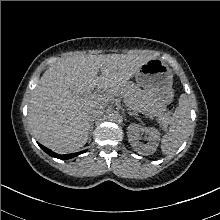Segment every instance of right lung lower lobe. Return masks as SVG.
<instances>
[{"label": "right lung lower lobe", "mask_w": 220, "mask_h": 220, "mask_svg": "<svg viewBox=\"0 0 220 220\" xmlns=\"http://www.w3.org/2000/svg\"><path fill=\"white\" fill-rule=\"evenodd\" d=\"M39 144V143H38ZM39 146L47 153L49 154L50 156L52 157H55V158H58V159H70V158H73L79 154H82L84 153L85 151H81V152H78V153H73V154H66V155H59V154H56L54 153L53 151H51L50 149L44 147L43 145L39 144Z\"/></svg>", "instance_id": "obj_1"}]
</instances>
